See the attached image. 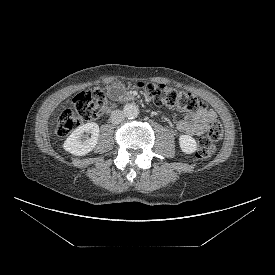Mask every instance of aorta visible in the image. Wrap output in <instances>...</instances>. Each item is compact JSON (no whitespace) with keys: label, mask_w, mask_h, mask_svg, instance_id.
<instances>
[{"label":"aorta","mask_w":275,"mask_h":275,"mask_svg":"<svg viewBox=\"0 0 275 275\" xmlns=\"http://www.w3.org/2000/svg\"><path fill=\"white\" fill-rule=\"evenodd\" d=\"M123 113L128 119H135L139 115V108L135 104H126L123 108Z\"/></svg>","instance_id":"obj_1"}]
</instances>
